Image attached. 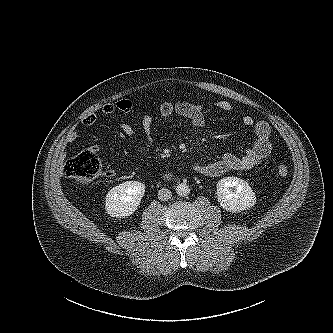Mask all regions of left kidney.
<instances>
[{"instance_id":"left-kidney-1","label":"left kidney","mask_w":333,"mask_h":333,"mask_svg":"<svg viewBox=\"0 0 333 333\" xmlns=\"http://www.w3.org/2000/svg\"><path fill=\"white\" fill-rule=\"evenodd\" d=\"M217 199L221 207L229 212H241L256 203L252 188L237 177H226L218 181Z\"/></svg>"}]
</instances>
